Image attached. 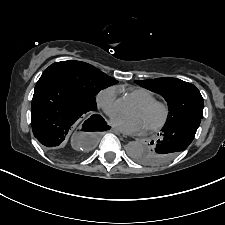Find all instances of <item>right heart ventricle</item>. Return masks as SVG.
<instances>
[{"label": "right heart ventricle", "mask_w": 225, "mask_h": 225, "mask_svg": "<svg viewBox=\"0 0 225 225\" xmlns=\"http://www.w3.org/2000/svg\"><path fill=\"white\" fill-rule=\"evenodd\" d=\"M129 95L138 103L148 102L155 99V95L148 89L137 87L129 91Z\"/></svg>", "instance_id": "1"}]
</instances>
